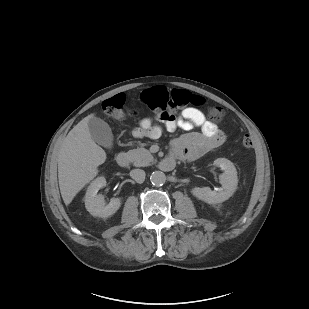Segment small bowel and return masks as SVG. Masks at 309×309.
I'll return each mask as SVG.
<instances>
[{"instance_id":"obj_1","label":"small bowel","mask_w":309,"mask_h":309,"mask_svg":"<svg viewBox=\"0 0 309 309\" xmlns=\"http://www.w3.org/2000/svg\"><path fill=\"white\" fill-rule=\"evenodd\" d=\"M162 123L168 131H174L177 128L186 131L172 141L169 159L195 160L224 142V135L217 125L206 120L204 114L198 109H185L178 117L170 116ZM194 128H199L200 132L192 131ZM161 133V126L150 118L143 119L135 131L138 137L152 139L159 138Z\"/></svg>"}]
</instances>
